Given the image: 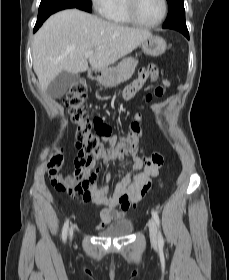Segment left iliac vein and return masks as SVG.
<instances>
[{
    "mask_svg": "<svg viewBox=\"0 0 229 280\" xmlns=\"http://www.w3.org/2000/svg\"><path fill=\"white\" fill-rule=\"evenodd\" d=\"M148 227L152 244H157V226L153 219L148 221Z\"/></svg>",
    "mask_w": 229,
    "mask_h": 280,
    "instance_id": "left-iliac-vein-1",
    "label": "left iliac vein"
}]
</instances>
